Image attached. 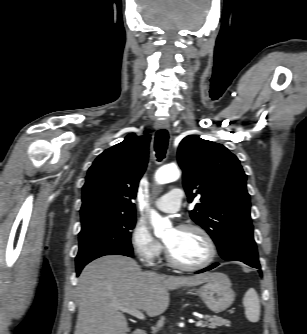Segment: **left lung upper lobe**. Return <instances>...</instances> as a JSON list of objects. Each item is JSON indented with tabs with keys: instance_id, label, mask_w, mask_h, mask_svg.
Instances as JSON below:
<instances>
[{
	"instance_id": "left-lung-upper-lobe-1",
	"label": "left lung upper lobe",
	"mask_w": 307,
	"mask_h": 334,
	"mask_svg": "<svg viewBox=\"0 0 307 334\" xmlns=\"http://www.w3.org/2000/svg\"><path fill=\"white\" fill-rule=\"evenodd\" d=\"M178 163L189 202L201 203L191 218L214 240L219 254L237 237H253L250 196L240 161L222 144L196 136L185 137L178 148Z\"/></svg>"
}]
</instances>
